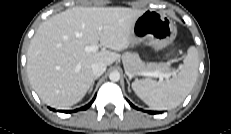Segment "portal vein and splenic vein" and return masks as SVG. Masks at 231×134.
<instances>
[{
	"label": "portal vein and splenic vein",
	"instance_id": "obj_1",
	"mask_svg": "<svg viewBox=\"0 0 231 134\" xmlns=\"http://www.w3.org/2000/svg\"><path fill=\"white\" fill-rule=\"evenodd\" d=\"M99 29L102 30L103 26H100ZM98 50H99V45H97V44L96 45H90V46H87L85 48L86 52H96ZM175 74H176V71L168 72V73H162L159 71H149V72L138 73V75H141V76H149V77L159 78L160 81H163L164 78H169L171 75H175Z\"/></svg>",
	"mask_w": 231,
	"mask_h": 134
}]
</instances>
